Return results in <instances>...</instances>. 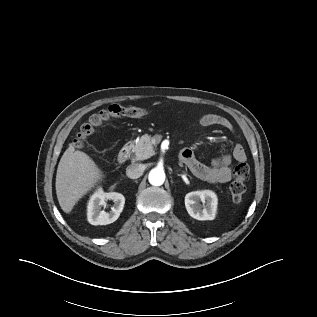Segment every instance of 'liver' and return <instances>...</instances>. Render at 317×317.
<instances>
[{"label":"liver","mask_w":317,"mask_h":317,"mask_svg":"<svg viewBox=\"0 0 317 317\" xmlns=\"http://www.w3.org/2000/svg\"><path fill=\"white\" fill-rule=\"evenodd\" d=\"M103 172L84 152L70 145L62 155L56 174V194L61 209L70 213L76 202L103 178Z\"/></svg>","instance_id":"6515ba94"}]
</instances>
